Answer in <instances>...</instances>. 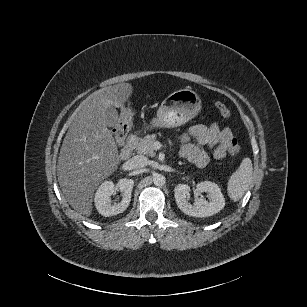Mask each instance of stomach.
<instances>
[{
	"label": "stomach",
	"mask_w": 307,
	"mask_h": 307,
	"mask_svg": "<svg viewBox=\"0 0 307 307\" xmlns=\"http://www.w3.org/2000/svg\"><path fill=\"white\" fill-rule=\"evenodd\" d=\"M198 95L189 89L171 93L157 110V119L152 125L159 127H176L192 119L201 108Z\"/></svg>",
	"instance_id": "stomach-1"
}]
</instances>
